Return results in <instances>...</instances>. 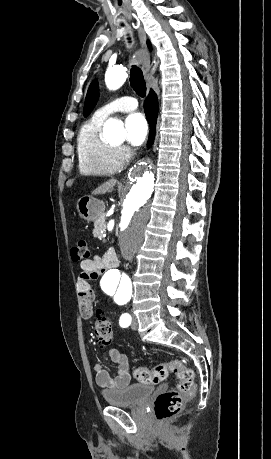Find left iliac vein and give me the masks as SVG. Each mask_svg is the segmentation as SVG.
<instances>
[{"label":"left iliac vein","mask_w":271,"mask_h":459,"mask_svg":"<svg viewBox=\"0 0 271 459\" xmlns=\"http://www.w3.org/2000/svg\"><path fill=\"white\" fill-rule=\"evenodd\" d=\"M131 328L133 330H136L138 328V324H137V318L134 314H132V323H131Z\"/></svg>","instance_id":"1"}]
</instances>
